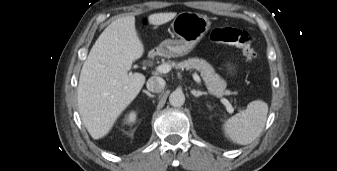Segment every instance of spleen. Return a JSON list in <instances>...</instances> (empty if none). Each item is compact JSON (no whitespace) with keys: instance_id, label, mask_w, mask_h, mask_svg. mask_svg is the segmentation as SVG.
<instances>
[{"instance_id":"obj_1","label":"spleen","mask_w":337,"mask_h":171,"mask_svg":"<svg viewBox=\"0 0 337 171\" xmlns=\"http://www.w3.org/2000/svg\"><path fill=\"white\" fill-rule=\"evenodd\" d=\"M267 113L268 105L264 101L250 102L243 112L235 114L224 122L225 136L238 145L252 143L262 132Z\"/></svg>"}]
</instances>
